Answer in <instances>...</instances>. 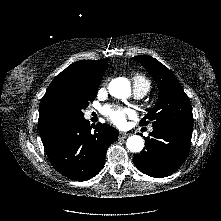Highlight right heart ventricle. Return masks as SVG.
<instances>
[{"mask_svg":"<svg viewBox=\"0 0 221 221\" xmlns=\"http://www.w3.org/2000/svg\"><path fill=\"white\" fill-rule=\"evenodd\" d=\"M134 89L149 91L151 88L150 80L143 74L135 73L132 77Z\"/></svg>","mask_w":221,"mask_h":221,"instance_id":"obj_1","label":"right heart ventricle"}]
</instances>
